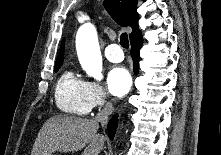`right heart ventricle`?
I'll return each instance as SVG.
<instances>
[{
  "mask_svg": "<svg viewBox=\"0 0 221 155\" xmlns=\"http://www.w3.org/2000/svg\"><path fill=\"white\" fill-rule=\"evenodd\" d=\"M57 107L72 115L83 116L90 112L91 105L87 97V84L73 70H65L55 88Z\"/></svg>",
  "mask_w": 221,
  "mask_h": 155,
  "instance_id": "1",
  "label": "right heart ventricle"
}]
</instances>
